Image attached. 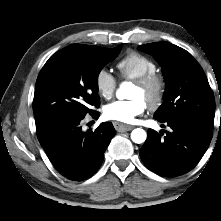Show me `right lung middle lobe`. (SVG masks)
Listing matches in <instances>:
<instances>
[{"label":"right lung middle lobe","instance_id":"obj_1","mask_svg":"<svg viewBox=\"0 0 221 221\" xmlns=\"http://www.w3.org/2000/svg\"><path fill=\"white\" fill-rule=\"evenodd\" d=\"M121 48L67 46L48 59L38 75L33 100L38 139L60 122L85 117L99 106L98 75Z\"/></svg>","mask_w":221,"mask_h":221}]
</instances>
